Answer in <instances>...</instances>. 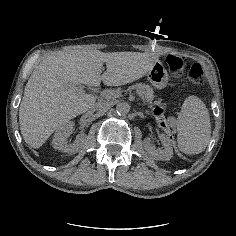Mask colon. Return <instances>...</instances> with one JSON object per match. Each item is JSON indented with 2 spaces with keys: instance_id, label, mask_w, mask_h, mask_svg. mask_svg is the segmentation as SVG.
Returning <instances> with one entry per match:
<instances>
[{
  "instance_id": "colon-1",
  "label": "colon",
  "mask_w": 236,
  "mask_h": 236,
  "mask_svg": "<svg viewBox=\"0 0 236 236\" xmlns=\"http://www.w3.org/2000/svg\"><path fill=\"white\" fill-rule=\"evenodd\" d=\"M166 64L172 73L181 75L187 66V58L182 55L168 54L166 57ZM203 73L202 66L199 63H194L189 69L188 78L194 83H202ZM153 115L156 119L164 118L165 108L160 102L155 103Z\"/></svg>"
}]
</instances>
